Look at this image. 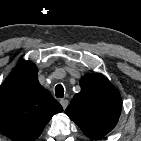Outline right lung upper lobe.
I'll list each match as a JSON object with an SVG mask.
<instances>
[{
  "instance_id": "cb5924a9",
  "label": "right lung upper lobe",
  "mask_w": 141,
  "mask_h": 141,
  "mask_svg": "<svg viewBox=\"0 0 141 141\" xmlns=\"http://www.w3.org/2000/svg\"><path fill=\"white\" fill-rule=\"evenodd\" d=\"M38 69L20 62L0 87V130L12 141H34L62 106L38 81Z\"/></svg>"
}]
</instances>
